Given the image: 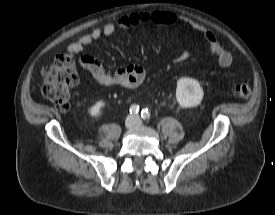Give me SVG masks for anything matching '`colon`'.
Segmentation results:
<instances>
[{"mask_svg": "<svg viewBox=\"0 0 275 215\" xmlns=\"http://www.w3.org/2000/svg\"><path fill=\"white\" fill-rule=\"evenodd\" d=\"M42 76L43 96L58 110L67 111L70 107L71 89L78 82L72 53L65 51L58 55L52 64L43 68ZM233 93L239 98H248L251 88L246 83H238L234 86Z\"/></svg>", "mask_w": 275, "mask_h": 215, "instance_id": "obj_1", "label": "colon"}]
</instances>
